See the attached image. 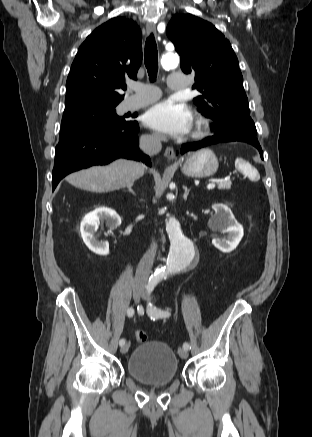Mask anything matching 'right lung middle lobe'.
I'll list each match as a JSON object with an SVG mask.
<instances>
[{
    "instance_id": "1",
    "label": "right lung middle lobe",
    "mask_w": 312,
    "mask_h": 437,
    "mask_svg": "<svg viewBox=\"0 0 312 437\" xmlns=\"http://www.w3.org/2000/svg\"><path fill=\"white\" fill-rule=\"evenodd\" d=\"M115 107L116 105L87 104L66 108L59 141H67L84 133L125 123L124 117L116 114Z\"/></svg>"
}]
</instances>
